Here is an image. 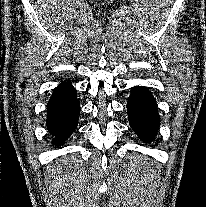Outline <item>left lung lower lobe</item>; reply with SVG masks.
Here are the masks:
<instances>
[{"mask_svg": "<svg viewBox=\"0 0 206 207\" xmlns=\"http://www.w3.org/2000/svg\"><path fill=\"white\" fill-rule=\"evenodd\" d=\"M130 126L145 142L151 141L160 125L156 102L146 87L132 88L127 102Z\"/></svg>", "mask_w": 206, "mask_h": 207, "instance_id": "1", "label": "left lung lower lobe"}]
</instances>
